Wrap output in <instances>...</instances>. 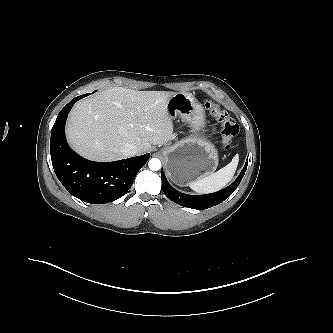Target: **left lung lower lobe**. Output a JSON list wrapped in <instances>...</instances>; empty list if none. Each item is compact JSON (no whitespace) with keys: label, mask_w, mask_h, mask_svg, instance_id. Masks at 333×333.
Here are the masks:
<instances>
[{"label":"left lung lower lobe","mask_w":333,"mask_h":333,"mask_svg":"<svg viewBox=\"0 0 333 333\" xmlns=\"http://www.w3.org/2000/svg\"><path fill=\"white\" fill-rule=\"evenodd\" d=\"M248 159L237 179L228 187L211 194L188 195L175 190L167 181L161 170L162 188L165 195L173 202L192 209H207L227 199L240 184L247 169Z\"/></svg>","instance_id":"obj_1"}]
</instances>
